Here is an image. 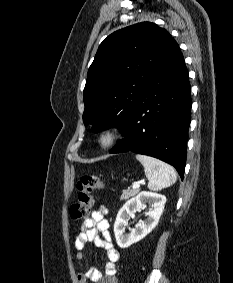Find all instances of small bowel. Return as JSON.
I'll use <instances>...</instances> for the list:
<instances>
[{"mask_svg": "<svg viewBox=\"0 0 233 283\" xmlns=\"http://www.w3.org/2000/svg\"><path fill=\"white\" fill-rule=\"evenodd\" d=\"M107 210L100 207L94 210L81 225V231L75 240L77 250L76 259L79 263L84 260V249L87 243H94L97 247L103 248L107 255L104 273L97 268H90L85 273L77 276L78 283H117L116 271L117 262L120 258L119 251L114 247L109 232V222L105 215Z\"/></svg>", "mask_w": 233, "mask_h": 283, "instance_id": "c3829d8e", "label": "small bowel"}]
</instances>
